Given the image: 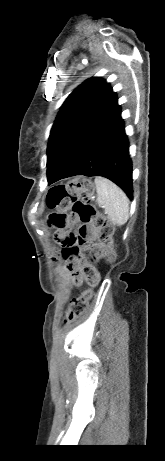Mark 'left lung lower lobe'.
Listing matches in <instances>:
<instances>
[{"mask_svg":"<svg viewBox=\"0 0 165 461\" xmlns=\"http://www.w3.org/2000/svg\"><path fill=\"white\" fill-rule=\"evenodd\" d=\"M75 175L102 176L132 199V161L117 99L71 150L49 185Z\"/></svg>","mask_w":165,"mask_h":461,"instance_id":"1","label":"left lung lower lobe"}]
</instances>
